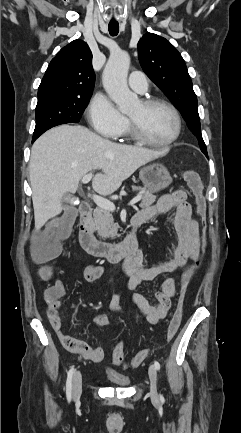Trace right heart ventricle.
Wrapping results in <instances>:
<instances>
[{"label": "right heart ventricle", "mask_w": 241, "mask_h": 433, "mask_svg": "<svg viewBox=\"0 0 241 433\" xmlns=\"http://www.w3.org/2000/svg\"><path fill=\"white\" fill-rule=\"evenodd\" d=\"M122 138H127V139H129V138H131V134H130V131L126 128L125 129V131L120 135ZM119 136V137H120Z\"/></svg>", "instance_id": "e07e8e85"}]
</instances>
